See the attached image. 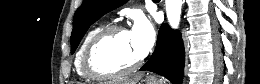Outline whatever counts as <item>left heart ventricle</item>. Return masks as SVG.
I'll return each instance as SVG.
<instances>
[{
    "label": "left heart ventricle",
    "mask_w": 260,
    "mask_h": 84,
    "mask_svg": "<svg viewBox=\"0 0 260 84\" xmlns=\"http://www.w3.org/2000/svg\"><path fill=\"white\" fill-rule=\"evenodd\" d=\"M139 58L130 32H122L101 43L95 55V64L102 70L122 69Z\"/></svg>",
    "instance_id": "obj_1"
}]
</instances>
